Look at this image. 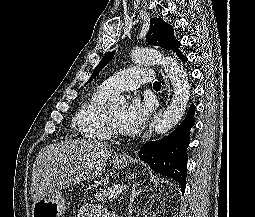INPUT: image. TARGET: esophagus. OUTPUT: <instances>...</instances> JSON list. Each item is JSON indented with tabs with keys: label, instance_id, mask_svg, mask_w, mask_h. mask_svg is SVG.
Instances as JSON below:
<instances>
[{
	"label": "esophagus",
	"instance_id": "1",
	"mask_svg": "<svg viewBox=\"0 0 255 217\" xmlns=\"http://www.w3.org/2000/svg\"><path fill=\"white\" fill-rule=\"evenodd\" d=\"M161 75L164 79V85L167 89V98L165 100V104H167L168 100H169V95H170V90H169V82H168V78L167 76L165 75V73L161 70ZM163 109L164 107H162L156 114L155 116L153 117L148 129L145 131L143 137H142V141L141 143L144 144L151 136L152 132H153V127L155 125V123L157 122V120L160 118L162 112H163Z\"/></svg>",
	"mask_w": 255,
	"mask_h": 217
}]
</instances>
